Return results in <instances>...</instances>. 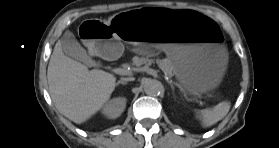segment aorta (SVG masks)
I'll list each match as a JSON object with an SVG mask.
<instances>
[{"mask_svg":"<svg viewBox=\"0 0 279 148\" xmlns=\"http://www.w3.org/2000/svg\"><path fill=\"white\" fill-rule=\"evenodd\" d=\"M144 91L149 96H156L164 91V87L158 80L149 79L144 83Z\"/></svg>","mask_w":279,"mask_h":148,"instance_id":"obj_1","label":"aorta"}]
</instances>
